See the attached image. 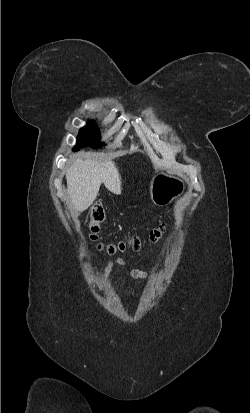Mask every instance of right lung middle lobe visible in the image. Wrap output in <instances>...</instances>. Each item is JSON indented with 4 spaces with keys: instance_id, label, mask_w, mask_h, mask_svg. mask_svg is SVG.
I'll return each instance as SVG.
<instances>
[{
    "instance_id": "right-lung-middle-lobe-1",
    "label": "right lung middle lobe",
    "mask_w": 250,
    "mask_h": 413,
    "mask_svg": "<svg viewBox=\"0 0 250 413\" xmlns=\"http://www.w3.org/2000/svg\"><path fill=\"white\" fill-rule=\"evenodd\" d=\"M99 139V131L94 126L88 125L83 127L79 132L77 145L73 148V151H78L84 146L100 148L103 144L99 142Z\"/></svg>"
}]
</instances>
